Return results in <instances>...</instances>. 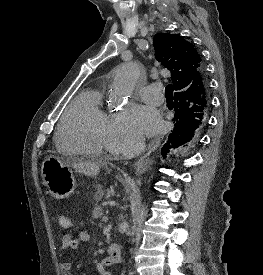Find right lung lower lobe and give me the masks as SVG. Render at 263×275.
<instances>
[{
  "label": "right lung lower lobe",
  "instance_id": "right-lung-lower-lobe-1",
  "mask_svg": "<svg viewBox=\"0 0 263 275\" xmlns=\"http://www.w3.org/2000/svg\"><path fill=\"white\" fill-rule=\"evenodd\" d=\"M202 78L206 79L204 68L199 71ZM184 95L181 93L174 96V108L175 114L172 119L174 126L171 134L168 137L167 143L162 148L163 158L168 153V148L178 147L182 144L193 141L199 135L200 130L204 127L206 121V115L202 113H195L191 109H187L184 105ZM170 143L172 145H170Z\"/></svg>",
  "mask_w": 263,
  "mask_h": 275
}]
</instances>
